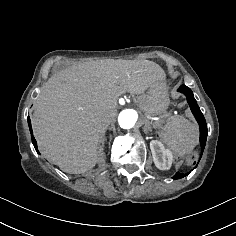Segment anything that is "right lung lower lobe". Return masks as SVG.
<instances>
[{
  "mask_svg": "<svg viewBox=\"0 0 236 236\" xmlns=\"http://www.w3.org/2000/svg\"><path fill=\"white\" fill-rule=\"evenodd\" d=\"M28 125H29V129H30V133H31V138H32V143L36 149V151L38 152V149H37V143H36V140L33 136V132H32V128H31V121H30V118L28 117Z\"/></svg>",
  "mask_w": 236,
  "mask_h": 236,
  "instance_id": "98d812e1",
  "label": "right lung lower lobe"
}]
</instances>
